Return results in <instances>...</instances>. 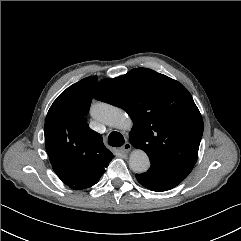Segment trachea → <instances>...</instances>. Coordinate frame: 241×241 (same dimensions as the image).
<instances>
[{
  "label": "trachea",
  "instance_id": "obj_1",
  "mask_svg": "<svg viewBox=\"0 0 241 241\" xmlns=\"http://www.w3.org/2000/svg\"><path fill=\"white\" fill-rule=\"evenodd\" d=\"M125 140L121 133L119 132H111L108 136V143L113 147H120L124 144Z\"/></svg>",
  "mask_w": 241,
  "mask_h": 241
}]
</instances>
